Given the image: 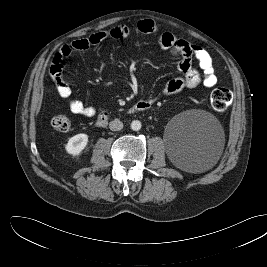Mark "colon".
<instances>
[{"label": "colon", "instance_id": "obj_1", "mask_svg": "<svg viewBox=\"0 0 267 267\" xmlns=\"http://www.w3.org/2000/svg\"><path fill=\"white\" fill-rule=\"evenodd\" d=\"M210 103L217 113H224L232 103V94L226 88H216L210 94ZM54 129L65 132L70 128V120L65 115H56L51 120Z\"/></svg>", "mask_w": 267, "mask_h": 267}]
</instances>
